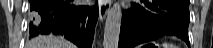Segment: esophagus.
I'll list each match as a JSON object with an SVG mask.
<instances>
[{
	"instance_id": "1",
	"label": "esophagus",
	"mask_w": 213,
	"mask_h": 48,
	"mask_svg": "<svg viewBox=\"0 0 213 48\" xmlns=\"http://www.w3.org/2000/svg\"><path fill=\"white\" fill-rule=\"evenodd\" d=\"M111 6V0H102L99 5V20L103 22Z\"/></svg>"
}]
</instances>
